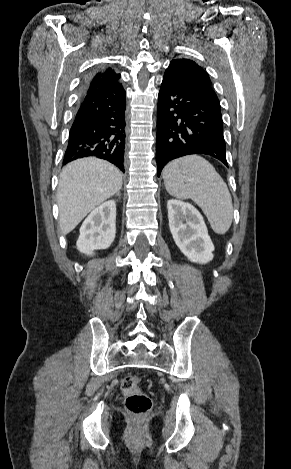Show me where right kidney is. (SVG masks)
Instances as JSON below:
<instances>
[{
    "mask_svg": "<svg viewBox=\"0 0 291 469\" xmlns=\"http://www.w3.org/2000/svg\"><path fill=\"white\" fill-rule=\"evenodd\" d=\"M116 235V203L109 200L94 209L85 219L77 240V249L86 255L107 249Z\"/></svg>",
    "mask_w": 291,
    "mask_h": 469,
    "instance_id": "right-kidney-1",
    "label": "right kidney"
}]
</instances>
